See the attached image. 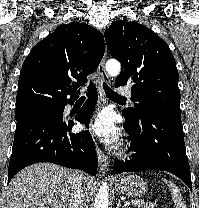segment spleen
<instances>
[{
  "label": "spleen",
  "mask_w": 199,
  "mask_h": 208,
  "mask_svg": "<svg viewBox=\"0 0 199 208\" xmlns=\"http://www.w3.org/2000/svg\"><path fill=\"white\" fill-rule=\"evenodd\" d=\"M163 181L167 184L171 191L172 199L176 204V208H186V203L182 198V195L176 185H174L171 181L163 179Z\"/></svg>",
  "instance_id": "3e777b00"
}]
</instances>
